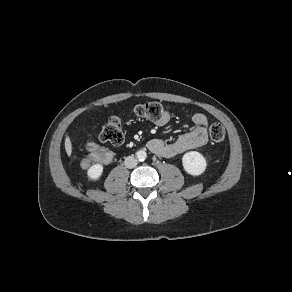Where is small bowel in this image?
<instances>
[{
	"label": "small bowel",
	"instance_id": "1",
	"mask_svg": "<svg viewBox=\"0 0 292 292\" xmlns=\"http://www.w3.org/2000/svg\"><path fill=\"white\" fill-rule=\"evenodd\" d=\"M169 120V114L157 122V125L163 126ZM193 129L180 136L172 143H166L161 139H152L148 143V148L154 154L169 158L183 154L186 151L202 147L208 142V120L204 114L196 113L191 117Z\"/></svg>",
	"mask_w": 292,
	"mask_h": 292
}]
</instances>
